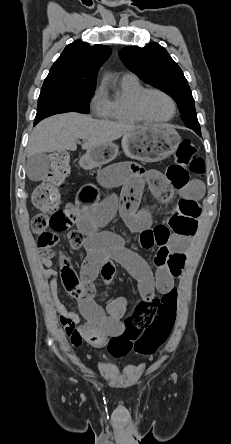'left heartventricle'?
<instances>
[{
	"label": "left heart ventricle",
	"instance_id": "1",
	"mask_svg": "<svg viewBox=\"0 0 231 444\" xmlns=\"http://www.w3.org/2000/svg\"><path fill=\"white\" fill-rule=\"evenodd\" d=\"M143 109L153 119H165L172 114L170 101L158 93H151L146 96L143 102Z\"/></svg>",
	"mask_w": 231,
	"mask_h": 444
}]
</instances>
